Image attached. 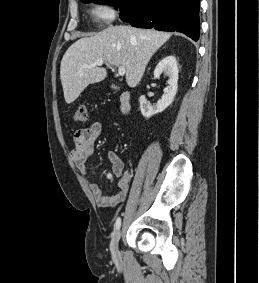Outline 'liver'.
Returning <instances> with one entry per match:
<instances>
[{
    "label": "liver",
    "instance_id": "6515ba94",
    "mask_svg": "<svg viewBox=\"0 0 259 283\" xmlns=\"http://www.w3.org/2000/svg\"><path fill=\"white\" fill-rule=\"evenodd\" d=\"M170 37L167 32L119 25L77 40L65 52L60 66L66 103L74 102L89 84L106 78L105 68L91 66L98 59L124 66L128 86L136 87L151 57Z\"/></svg>",
    "mask_w": 259,
    "mask_h": 283
}]
</instances>
